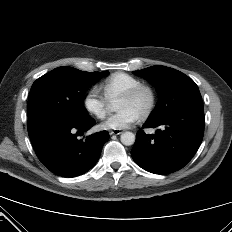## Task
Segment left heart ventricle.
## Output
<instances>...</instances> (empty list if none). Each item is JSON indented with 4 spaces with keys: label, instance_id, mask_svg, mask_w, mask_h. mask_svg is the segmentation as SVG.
<instances>
[{
    "label": "left heart ventricle",
    "instance_id": "left-heart-ventricle-1",
    "mask_svg": "<svg viewBox=\"0 0 232 232\" xmlns=\"http://www.w3.org/2000/svg\"><path fill=\"white\" fill-rule=\"evenodd\" d=\"M148 102H149V94L147 92H143L133 100L118 99L116 103V109L117 110L131 109L134 112L141 115V113L148 105Z\"/></svg>",
    "mask_w": 232,
    "mask_h": 232
}]
</instances>
